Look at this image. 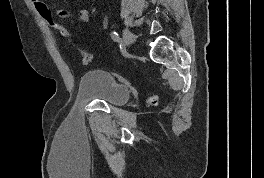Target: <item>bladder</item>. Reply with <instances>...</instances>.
<instances>
[{"label":"bladder","instance_id":"obj_1","mask_svg":"<svg viewBox=\"0 0 264 178\" xmlns=\"http://www.w3.org/2000/svg\"><path fill=\"white\" fill-rule=\"evenodd\" d=\"M78 96L83 100H101L112 105H125L129 88L109 71L97 69L85 72L78 84Z\"/></svg>","mask_w":264,"mask_h":178}]
</instances>
